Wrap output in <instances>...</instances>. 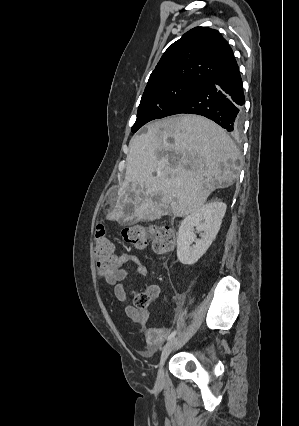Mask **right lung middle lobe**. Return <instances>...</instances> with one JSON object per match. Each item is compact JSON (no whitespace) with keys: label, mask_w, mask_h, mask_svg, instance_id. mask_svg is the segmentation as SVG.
Listing matches in <instances>:
<instances>
[{"label":"right lung middle lobe","mask_w":299,"mask_h":426,"mask_svg":"<svg viewBox=\"0 0 299 426\" xmlns=\"http://www.w3.org/2000/svg\"><path fill=\"white\" fill-rule=\"evenodd\" d=\"M198 87L194 84L173 82L145 89L132 132L135 133L147 122L160 118L169 107Z\"/></svg>","instance_id":"dd1d6c3e"}]
</instances>
